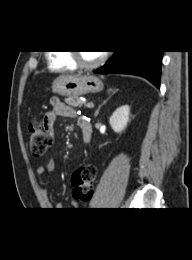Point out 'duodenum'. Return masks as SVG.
Masks as SVG:
<instances>
[{"mask_svg":"<svg viewBox=\"0 0 192 260\" xmlns=\"http://www.w3.org/2000/svg\"><path fill=\"white\" fill-rule=\"evenodd\" d=\"M79 126H80L81 131H82L84 142L88 143L91 139V134H92L91 123L87 119H81L79 121Z\"/></svg>","mask_w":192,"mask_h":260,"instance_id":"duodenum-1","label":"duodenum"}]
</instances>
